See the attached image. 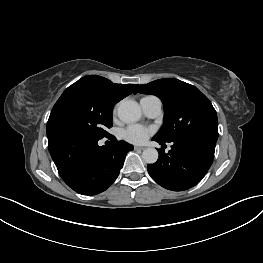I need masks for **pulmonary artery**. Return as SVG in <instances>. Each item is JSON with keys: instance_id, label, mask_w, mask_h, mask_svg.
Listing matches in <instances>:
<instances>
[{"instance_id": "1", "label": "pulmonary artery", "mask_w": 263, "mask_h": 263, "mask_svg": "<svg viewBox=\"0 0 263 263\" xmlns=\"http://www.w3.org/2000/svg\"><path fill=\"white\" fill-rule=\"evenodd\" d=\"M143 113L149 118H157L162 112V103L156 96H145L140 100Z\"/></svg>"}]
</instances>
